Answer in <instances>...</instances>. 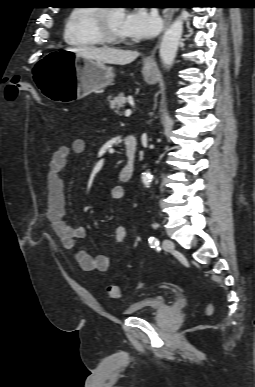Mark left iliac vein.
Returning <instances> with one entry per match:
<instances>
[{
  "label": "left iliac vein",
  "mask_w": 255,
  "mask_h": 387,
  "mask_svg": "<svg viewBox=\"0 0 255 387\" xmlns=\"http://www.w3.org/2000/svg\"><path fill=\"white\" fill-rule=\"evenodd\" d=\"M162 247L166 251H170L174 249V243L169 239H164L162 242Z\"/></svg>",
  "instance_id": "4c4485c4"
}]
</instances>
